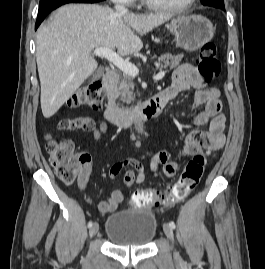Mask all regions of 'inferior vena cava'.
<instances>
[{
  "label": "inferior vena cava",
  "instance_id": "obj_1",
  "mask_svg": "<svg viewBox=\"0 0 265 269\" xmlns=\"http://www.w3.org/2000/svg\"><path fill=\"white\" fill-rule=\"evenodd\" d=\"M115 9H116V13H119V14H124L127 12V9L122 5H116Z\"/></svg>",
  "mask_w": 265,
  "mask_h": 269
}]
</instances>
